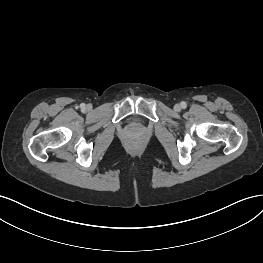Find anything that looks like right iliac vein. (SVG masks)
<instances>
[{
  "mask_svg": "<svg viewBox=\"0 0 263 263\" xmlns=\"http://www.w3.org/2000/svg\"><path fill=\"white\" fill-rule=\"evenodd\" d=\"M86 108H87V110H90V109H91V107H90V106H87Z\"/></svg>",
  "mask_w": 263,
  "mask_h": 263,
  "instance_id": "1",
  "label": "right iliac vein"
}]
</instances>
